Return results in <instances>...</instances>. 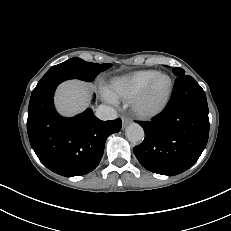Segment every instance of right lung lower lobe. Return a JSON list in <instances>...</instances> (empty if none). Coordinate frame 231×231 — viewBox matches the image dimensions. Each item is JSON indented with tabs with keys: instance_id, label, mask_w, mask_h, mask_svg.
<instances>
[{
	"instance_id": "98d812e1",
	"label": "right lung lower lobe",
	"mask_w": 231,
	"mask_h": 231,
	"mask_svg": "<svg viewBox=\"0 0 231 231\" xmlns=\"http://www.w3.org/2000/svg\"><path fill=\"white\" fill-rule=\"evenodd\" d=\"M57 79L32 92L27 131L39 160L51 171L66 177L84 175L99 164L106 138L119 132L121 119L101 121L91 109L73 118L61 117L53 104Z\"/></svg>"
}]
</instances>
